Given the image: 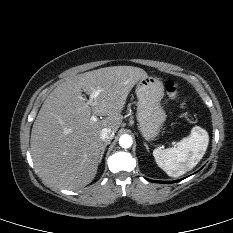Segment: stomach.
<instances>
[{"mask_svg":"<svg viewBox=\"0 0 233 233\" xmlns=\"http://www.w3.org/2000/svg\"><path fill=\"white\" fill-rule=\"evenodd\" d=\"M138 129L145 140L157 137L166 120V113L161 105L164 96L163 83L155 77L140 79L136 86Z\"/></svg>","mask_w":233,"mask_h":233,"instance_id":"obj_1","label":"stomach"}]
</instances>
